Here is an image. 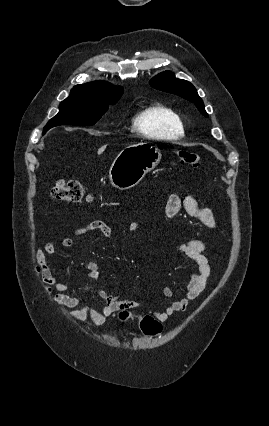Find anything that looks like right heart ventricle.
<instances>
[{
	"label": "right heart ventricle",
	"mask_w": 269,
	"mask_h": 426,
	"mask_svg": "<svg viewBox=\"0 0 269 426\" xmlns=\"http://www.w3.org/2000/svg\"><path fill=\"white\" fill-rule=\"evenodd\" d=\"M133 126L142 135L151 139L169 140L184 134L178 114L170 107L155 104L140 111L133 120Z\"/></svg>",
	"instance_id": "obj_1"
}]
</instances>
